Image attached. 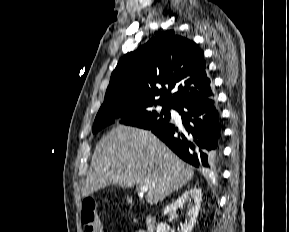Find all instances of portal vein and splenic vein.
<instances>
[{
  "label": "portal vein and splenic vein",
  "instance_id": "obj_1",
  "mask_svg": "<svg viewBox=\"0 0 289 232\" xmlns=\"http://www.w3.org/2000/svg\"><path fill=\"white\" fill-rule=\"evenodd\" d=\"M140 190H141V193H145L148 191V187L146 185H143L141 186Z\"/></svg>",
  "mask_w": 289,
  "mask_h": 232
}]
</instances>
